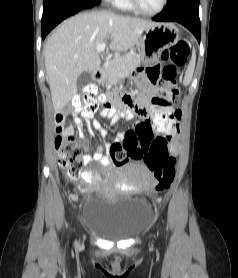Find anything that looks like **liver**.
Returning a JSON list of instances; mask_svg holds the SVG:
<instances>
[{
  "label": "liver",
  "mask_w": 238,
  "mask_h": 278,
  "mask_svg": "<svg viewBox=\"0 0 238 278\" xmlns=\"http://www.w3.org/2000/svg\"><path fill=\"white\" fill-rule=\"evenodd\" d=\"M152 25L151 21L107 11L80 13L59 25L45 47L46 79L54 110H62L76 95L81 73L99 69V44L110 40L112 51L126 52Z\"/></svg>",
  "instance_id": "6515ba94"
}]
</instances>
